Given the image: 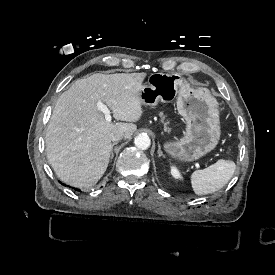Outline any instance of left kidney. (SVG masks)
<instances>
[{
	"instance_id": "5707ae66",
	"label": "left kidney",
	"mask_w": 275,
	"mask_h": 275,
	"mask_svg": "<svg viewBox=\"0 0 275 275\" xmlns=\"http://www.w3.org/2000/svg\"><path fill=\"white\" fill-rule=\"evenodd\" d=\"M172 175L177 178L179 176V173L177 172V170L173 169L172 170Z\"/></svg>"
}]
</instances>
